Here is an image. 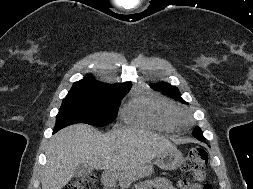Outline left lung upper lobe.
Instances as JSON below:
<instances>
[{"instance_id":"obj_1","label":"left lung upper lobe","mask_w":253,"mask_h":189,"mask_svg":"<svg viewBox=\"0 0 253 189\" xmlns=\"http://www.w3.org/2000/svg\"><path fill=\"white\" fill-rule=\"evenodd\" d=\"M153 89L157 90V91H162L165 94H167L169 97L178 100L182 103H185V101L181 98L180 96V92L178 91V89L174 86H171L167 83H159V84H151L150 85ZM193 133H197V134H201L202 135V131L201 129L198 127L196 128Z\"/></svg>"}]
</instances>
